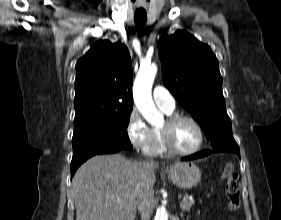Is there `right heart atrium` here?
<instances>
[{
    "label": "right heart atrium",
    "instance_id": "d8ad5b80",
    "mask_svg": "<svg viewBox=\"0 0 281 220\" xmlns=\"http://www.w3.org/2000/svg\"><path fill=\"white\" fill-rule=\"evenodd\" d=\"M126 134L133 148L142 153L148 152L152 141L151 129L135 109L131 111L128 117Z\"/></svg>",
    "mask_w": 281,
    "mask_h": 220
}]
</instances>
